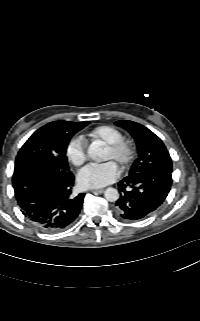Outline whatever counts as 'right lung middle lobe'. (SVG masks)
<instances>
[{"label":"right lung middle lobe","instance_id":"dd1d6c3e","mask_svg":"<svg viewBox=\"0 0 200 321\" xmlns=\"http://www.w3.org/2000/svg\"><path fill=\"white\" fill-rule=\"evenodd\" d=\"M88 124L89 122L46 124L24 143L17 154L15 165L36 159L47 161L60 170L70 171L66 156L67 146L72 136Z\"/></svg>","mask_w":200,"mask_h":321}]
</instances>
